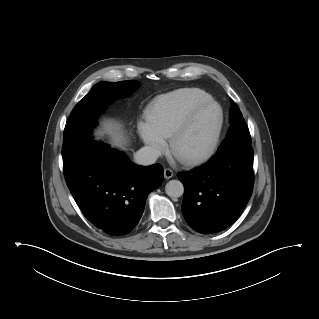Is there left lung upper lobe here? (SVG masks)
<instances>
[{
    "label": "left lung upper lobe",
    "instance_id": "obj_1",
    "mask_svg": "<svg viewBox=\"0 0 319 319\" xmlns=\"http://www.w3.org/2000/svg\"><path fill=\"white\" fill-rule=\"evenodd\" d=\"M230 121L229 130L218 149H225L233 144L250 145L251 138L249 129L237 105H232L230 108Z\"/></svg>",
    "mask_w": 319,
    "mask_h": 319
}]
</instances>
